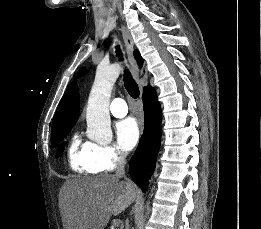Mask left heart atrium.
Here are the masks:
<instances>
[{"mask_svg": "<svg viewBox=\"0 0 261 229\" xmlns=\"http://www.w3.org/2000/svg\"><path fill=\"white\" fill-rule=\"evenodd\" d=\"M116 136L122 149L125 151L132 150L140 138V129L137 122L132 118L120 121L116 126Z\"/></svg>", "mask_w": 261, "mask_h": 229, "instance_id": "39dd6f15", "label": "left heart atrium"}]
</instances>
